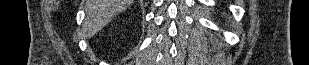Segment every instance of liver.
<instances>
[{
    "mask_svg": "<svg viewBox=\"0 0 309 65\" xmlns=\"http://www.w3.org/2000/svg\"><path fill=\"white\" fill-rule=\"evenodd\" d=\"M132 2L133 0H87V16L83 25L86 37L94 36Z\"/></svg>",
    "mask_w": 309,
    "mask_h": 65,
    "instance_id": "1",
    "label": "liver"
}]
</instances>
